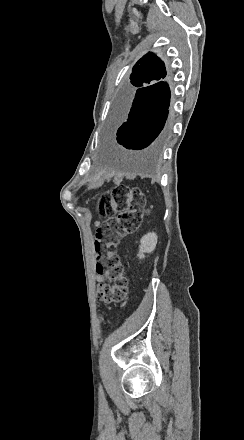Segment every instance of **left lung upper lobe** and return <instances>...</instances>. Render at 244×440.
Listing matches in <instances>:
<instances>
[{
  "label": "left lung upper lobe",
  "instance_id": "obj_1",
  "mask_svg": "<svg viewBox=\"0 0 244 440\" xmlns=\"http://www.w3.org/2000/svg\"><path fill=\"white\" fill-rule=\"evenodd\" d=\"M167 75L163 61L153 53L144 55L133 67L130 75L132 86L139 88L156 83Z\"/></svg>",
  "mask_w": 244,
  "mask_h": 440
}]
</instances>
